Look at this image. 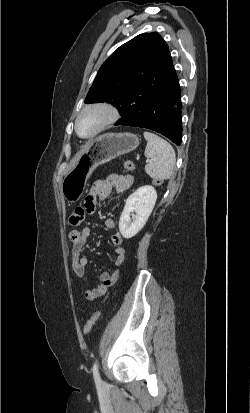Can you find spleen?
I'll return each mask as SVG.
<instances>
[{
    "label": "spleen",
    "mask_w": 250,
    "mask_h": 413,
    "mask_svg": "<svg viewBox=\"0 0 250 413\" xmlns=\"http://www.w3.org/2000/svg\"><path fill=\"white\" fill-rule=\"evenodd\" d=\"M143 135L147 140L144 154L150 159L145 166L146 173L154 180L169 179L176 164V154L173 147L154 133L145 131Z\"/></svg>",
    "instance_id": "1"
}]
</instances>
